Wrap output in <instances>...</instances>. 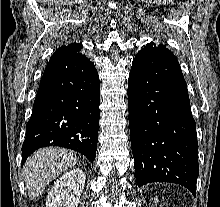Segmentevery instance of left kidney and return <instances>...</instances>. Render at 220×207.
<instances>
[{
    "label": "left kidney",
    "instance_id": "5707ae66",
    "mask_svg": "<svg viewBox=\"0 0 220 207\" xmlns=\"http://www.w3.org/2000/svg\"><path fill=\"white\" fill-rule=\"evenodd\" d=\"M154 201H155V203H157L158 202V198H155Z\"/></svg>",
    "mask_w": 220,
    "mask_h": 207
}]
</instances>
